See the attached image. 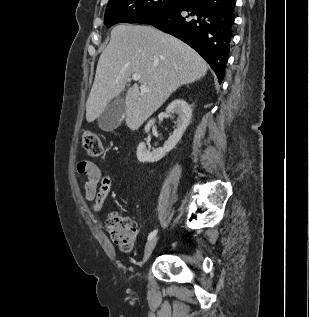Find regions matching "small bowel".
I'll return each mask as SVG.
<instances>
[{
  "label": "small bowel",
  "mask_w": 309,
  "mask_h": 317,
  "mask_svg": "<svg viewBox=\"0 0 309 317\" xmlns=\"http://www.w3.org/2000/svg\"><path fill=\"white\" fill-rule=\"evenodd\" d=\"M80 175L86 176L84 184V196L89 202H93L95 211H100L110 193L112 181L109 176H103L100 169L91 161L81 160L76 167Z\"/></svg>",
  "instance_id": "small-bowel-1"
}]
</instances>
